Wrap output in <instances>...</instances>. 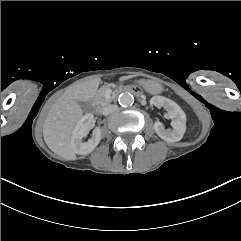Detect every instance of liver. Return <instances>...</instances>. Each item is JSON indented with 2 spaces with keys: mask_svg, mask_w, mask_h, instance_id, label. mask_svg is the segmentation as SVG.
<instances>
[{
  "mask_svg": "<svg viewBox=\"0 0 241 241\" xmlns=\"http://www.w3.org/2000/svg\"><path fill=\"white\" fill-rule=\"evenodd\" d=\"M101 78H88L68 90L52 105L44 122L43 136L47 146L58 156L76 160L71 146V136L75 125L83 116L78 103L95 97Z\"/></svg>",
  "mask_w": 241,
  "mask_h": 241,
  "instance_id": "6515ba94",
  "label": "liver"
}]
</instances>
